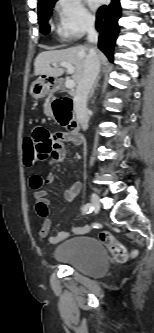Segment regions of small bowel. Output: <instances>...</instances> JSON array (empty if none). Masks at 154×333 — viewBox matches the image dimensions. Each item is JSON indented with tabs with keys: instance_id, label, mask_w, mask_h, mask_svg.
Masks as SVG:
<instances>
[{
	"instance_id": "c3829d8e",
	"label": "small bowel",
	"mask_w": 154,
	"mask_h": 333,
	"mask_svg": "<svg viewBox=\"0 0 154 333\" xmlns=\"http://www.w3.org/2000/svg\"><path fill=\"white\" fill-rule=\"evenodd\" d=\"M31 137L35 143V151L37 160H50L51 164H57L63 161L65 158L64 142L79 143L80 138H75L70 131L50 133L43 127H36L33 129ZM55 181V177L52 173H48L45 176L33 175L30 178V187L35 191L36 198V211L42 220V226L38 231L39 238H46L51 244H57L63 239L70 236L69 232H59L56 235H49L51 228V220L49 218V199L48 193L42 188L44 184H52ZM81 190V183L75 181L64 192V197L67 201L71 202L75 199ZM90 230L89 226L73 227L71 231L73 233H85Z\"/></svg>"
}]
</instances>
